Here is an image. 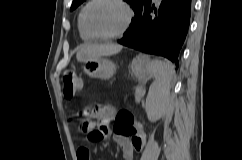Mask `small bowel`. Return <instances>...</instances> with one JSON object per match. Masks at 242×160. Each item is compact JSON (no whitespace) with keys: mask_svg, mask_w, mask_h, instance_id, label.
Segmentation results:
<instances>
[{"mask_svg":"<svg viewBox=\"0 0 242 160\" xmlns=\"http://www.w3.org/2000/svg\"><path fill=\"white\" fill-rule=\"evenodd\" d=\"M110 121V113H104L100 121L99 131L104 135L109 129L104 126ZM114 141L120 147L124 160H133L134 153L140 151L145 142V132L142 127H137L133 133H119L116 132L114 127ZM77 159L78 160H90V152L87 146H80L77 149Z\"/></svg>","mask_w":242,"mask_h":160,"instance_id":"c3829d8e","label":"small bowel"}]
</instances>
